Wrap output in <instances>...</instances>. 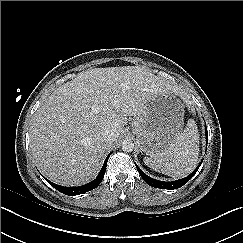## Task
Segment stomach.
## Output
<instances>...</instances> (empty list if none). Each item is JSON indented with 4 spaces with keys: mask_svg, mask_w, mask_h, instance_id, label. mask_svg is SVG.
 <instances>
[{
    "mask_svg": "<svg viewBox=\"0 0 243 243\" xmlns=\"http://www.w3.org/2000/svg\"><path fill=\"white\" fill-rule=\"evenodd\" d=\"M184 109L170 93L155 96L132 123L141 152L150 156L166 149L182 132Z\"/></svg>",
    "mask_w": 243,
    "mask_h": 243,
    "instance_id": "1",
    "label": "stomach"
}]
</instances>
